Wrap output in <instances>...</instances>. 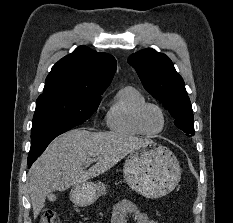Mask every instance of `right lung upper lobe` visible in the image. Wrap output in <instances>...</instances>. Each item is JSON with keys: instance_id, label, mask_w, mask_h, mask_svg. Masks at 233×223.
Here are the masks:
<instances>
[{"instance_id": "cb5924a9", "label": "right lung upper lobe", "mask_w": 233, "mask_h": 223, "mask_svg": "<svg viewBox=\"0 0 233 223\" xmlns=\"http://www.w3.org/2000/svg\"><path fill=\"white\" fill-rule=\"evenodd\" d=\"M115 71L116 60L112 55L80 46L52 67L40 96L63 94L101 97Z\"/></svg>"}]
</instances>
